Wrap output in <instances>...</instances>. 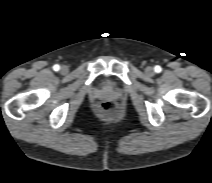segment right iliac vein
<instances>
[{
	"instance_id": "63e3f726",
	"label": "right iliac vein",
	"mask_w": 212,
	"mask_h": 183,
	"mask_svg": "<svg viewBox=\"0 0 212 183\" xmlns=\"http://www.w3.org/2000/svg\"><path fill=\"white\" fill-rule=\"evenodd\" d=\"M60 71L62 74H67L69 71V68H68V66L63 65V66H61Z\"/></svg>"
}]
</instances>
